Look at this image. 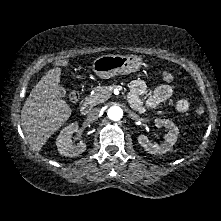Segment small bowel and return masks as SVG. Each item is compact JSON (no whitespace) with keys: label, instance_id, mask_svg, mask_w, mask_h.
<instances>
[{"label":"small bowel","instance_id":"small-bowel-1","mask_svg":"<svg viewBox=\"0 0 221 221\" xmlns=\"http://www.w3.org/2000/svg\"><path fill=\"white\" fill-rule=\"evenodd\" d=\"M146 90V83L142 80H134L130 84L129 103L137 111L142 112L145 109H155L160 104L169 101L175 93L172 86L164 84L156 88L153 94L146 100H142ZM175 107L179 112H187L190 108V102L187 98L180 97L177 99Z\"/></svg>","mask_w":221,"mask_h":221}]
</instances>
